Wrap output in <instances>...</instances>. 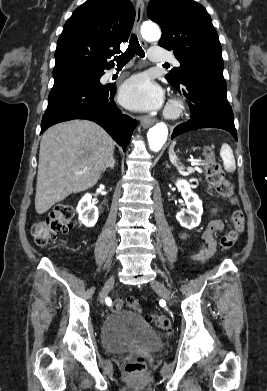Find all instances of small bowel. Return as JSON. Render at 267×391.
Masks as SVG:
<instances>
[{
    "instance_id": "obj_1",
    "label": "small bowel",
    "mask_w": 267,
    "mask_h": 391,
    "mask_svg": "<svg viewBox=\"0 0 267 391\" xmlns=\"http://www.w3.org/2000/svg\"><path fill=\"white\" fill-rule=\"evenodd\" d=\"M217 208L212 209L213 212H216ZM223 230V223L220 220H214L208 224L206 229L201 235V247L200 250L191 255V257L199 262H205L208 260L216 251V239L215 233ZM182 239H187V234H181Z\"/></svg>"
}]
</instances>
